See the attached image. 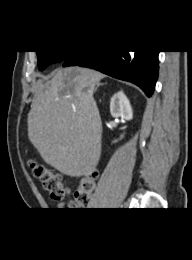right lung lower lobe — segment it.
<instances>
[{"instance_id": "right-lung-lower-lobe-1", "label": "right lung lower lobe", "mask_w": 192, "mask_h": 260, "mask_svg": "<svg viewBox=\"0 0 192 260\" xmlns=\"http://www.w3.org/2000/svg\"><path fill=\"white\" fill-rule=\"evenodd\" d=\"M159 51H80L71 53L63 66H83L139 86L150 97L158 76Z\"/></svg>"}]
</instances>
